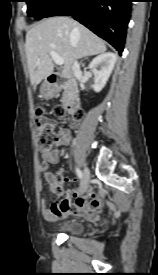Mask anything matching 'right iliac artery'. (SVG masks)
I'll use <instances>...</instances> for the list:
<instances>
[{"label":"right iliac artery","instance_id":"1","mask_svg":"<svg viewBox=\"0 0 158 275\" xmlns=\"http://www.w3.org/2000/svg\"><path fill=\"white\" fill-rule=\"evenodd\" d=\"M76 174H77V176H78L80 179L83 178V173H82V171H81L79 168H76Z\"/></svg>","mask_w":158,"mask_h":275}]
</instances>
